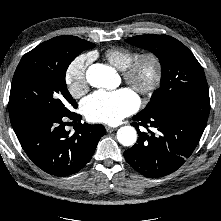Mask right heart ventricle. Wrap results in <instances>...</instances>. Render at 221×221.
Wrapping results in <instances>:
<instances>
[{"label": "right heart ventricle", "instance_id": "1", "mask_svg": "<svg viewBox=\"0 0 221 221\" xmlns=\"http://www.w3.org/2000/svg\"><path fill=\"white\" fill-rule=\"evenodd\" d=\"M138 52L125 47H112L105 52V58L117 69L123 71Z\"/></svg>", "mask_w": 221, "mask_h": 221}]
</instances>
